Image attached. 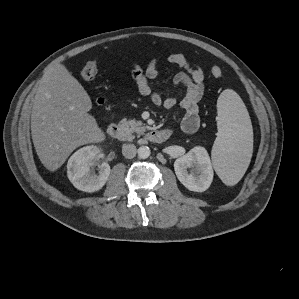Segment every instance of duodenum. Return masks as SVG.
<instances>
[{"label":"duodenum","instance_id":"410a0bca","mask_svg":"<svg viewBox=\"0 0 299 299\" xmlns=\"http://www.w3.org/2000/svg\"><path fill=\"white\" fill-rule=\"evenodd\" d=\"M107 133L111 138L126 141L127 134L124 129L117 123L109 124ZM170 136V131L167 129L153 130L146 134L145 138L151 142L161 143L166 141Z\"/></svg>","mask_w":299,"mask_h":299}]
</instances>
